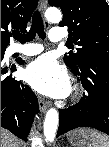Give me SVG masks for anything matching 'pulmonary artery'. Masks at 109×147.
Returning <instances> with one entry per match:
<instances>
[{
	"mask_svg": "<svg viewBox=\"0 0 109 147\" xmlns=\"http://www.w3.org/2000/svg\"><path fill=\"white\" fill-rule=\"evenodd\" d=\"M51 42H62L64 40V34L62 32L52 31L48 34ZM43 51V46L38 43H28L25 46L16 45L13 48L14 53H20L25 56H35Z\"/></svg>",
	"mask_w": 109,
	"mask_h": 147,
	"instance_id": "1",
	"label": "pulmonary artery"
}]
</instances>
